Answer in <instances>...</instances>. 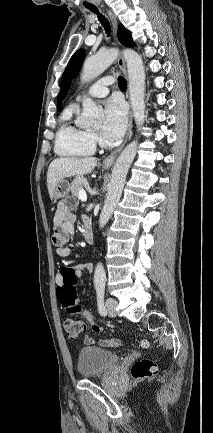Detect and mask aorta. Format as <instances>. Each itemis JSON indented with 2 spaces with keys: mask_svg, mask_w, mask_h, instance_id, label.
<instances>
[{
  "mask_svg": "<svg viewBox=\"0 0 213 433\" xmlns=\"http://www.w3.org/2000/svg\"><path fill=\"white\" fill-rule=\"evenodd\" d=\"M117 56L118 50L112 48L87 57L83 65L81 80L88 82L98 77L116 60ZM123 56L127 63L133 116L137 127L140 129L145 120V69L141 56L134 50H124ZM100 112L101 108L98 105L90 98H84L80 124L83 126L96 125ZM137 147V140L132 141L125 147L116 160L112 170L107 198L99 218V226L101 228L107 224L122 195L126 175L136 156ZM105 282L106 273L104 267L101 263H98L94 272V286L96 289L104 288Z\"/></svg>",
  "mask_w": 213,
  "mask_h": 433,
  "instance_id": "1",
  "label": "aorta"
}]
</instances>
